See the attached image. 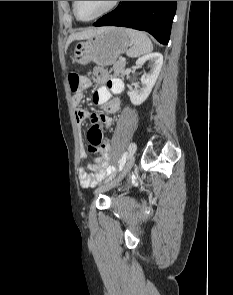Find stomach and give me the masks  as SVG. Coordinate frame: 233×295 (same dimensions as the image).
I'll return each mask as SVG.
<instances>
[{"label":"stomach","instance_id":"1","mask_svg":"<svg viewBox=\"0 0 233 295\" xmlns=\"http://www.w3.org/2000/svg\"><path fill=\"white\" fill-rule=\"evenodd\" d=\"M130 37L120 27H106L100 33L74 46V60L81 65L94 62L100 66L112 65L130 46Z\"/></svg>","mask_w":233,"mask_h":295}]
</instances>
